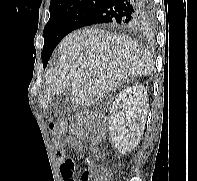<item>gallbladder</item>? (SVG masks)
Here are the masks:
<instances>
[{
  "label": "gallbladder",
  "instance_id": "gallbladder-1",
  "mask_svg": "<svg viewBox=\"0 0 197 181\" xmlns=\"http://www.w3.org/2000/svg\"><path fill=\"white\" fill-rule=\"evenodd\" d=\"M71 106V89L68 88L62 95L55 97L48 105V109L56 115L58 112H65Z\"/></svg>",
  "mask_w": 197,
  "mask_h": 181
}]
</instances>
